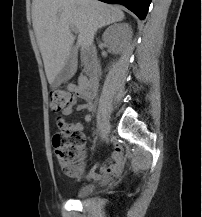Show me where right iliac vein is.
I'll return each mask as SVG.
<instances>
[{"label":"right iliac vein","mask_w":202,"mask_h":217,"mask_svg":"<svg viewBox=\"0 0 202 217\" xmlns=\"http://www.w3.org/2000/svg\"><path fill=\"white\" fill-rule=\"evenodd\" d=\"M110 131V124L107 120H104L101 124V138L105 140L108 137Z\"/></svg>","instance_id":"obj_1"}]
</instances>
